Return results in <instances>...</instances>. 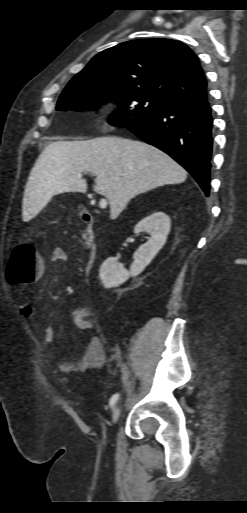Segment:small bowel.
Returning a JSON list of instances; mask_svg holds the SVG:
<instances>
[{
  "label": "small bowel",
  "instance_id": "1",
  "mask_svg": "<svg viewBox=\"0 0 247 513\" xmlns=\"http://www.w3.org/2000/svg\"><path fill=\"white\" fill-rule=\"evenodd\" d=\"M52 262H65L67 260L66 252L57 248L51 255ZM20 312L26 318L33 316V309L28 303L20 305ZM91 312L88 307L82 306L72 312V319L77 328L81 331H89L94 328V322L90 318ZM42 341L45 345H50L55 338V331L50 326L39 327ZM121 348L116 345L112 347L110 355L114 359L118 358ZM107 353L103 341L100 337L94 336L90 339L83 353L76 359H62L58 367L63 372H85L89 369L99 368L105 364Z\"/></svg>",
  "mask_w": 247,
  "mask_h": 513
}]
</instances>
